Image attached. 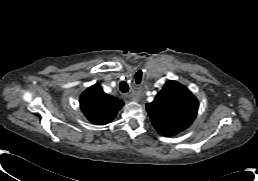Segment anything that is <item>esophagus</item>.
Here are the masks:
<instances>
[{
    "mask_svg": "<svg viewBox=\"0 0 258 181\" xmlns=\"http://www.w3.org/2000/svg\"><path fill=\"white\" fill-rule=\"evenodd\" d=\"M128 97L131 98L134 101L139 100V95L135 92H131L130 94H128Z\"/></svg>",
    "mask_w": 258,
    "mask_h": 181,
    "instance_id": "1",
    "label": "esophagus"
}]
</instances>
